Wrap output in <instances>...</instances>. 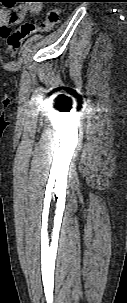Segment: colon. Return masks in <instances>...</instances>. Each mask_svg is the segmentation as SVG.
<instances>
[{
	"mask_svg": "<svg viewBox=\"0 0 127 303\" xmlns=\"http://www.w3.org/2000/svg\"><path fill=\"white\" fill-rule=\"evenodd\" d=\"M60 21V10L57 7L49 9L46 19L40 25L32 22H25L15 31H10L5 37L7 39L8 51L11 56H14L21 48L23 42L38 32H49Z\"/></svg>",
	"mask_w": 127,
	"mask_h": 303,
	"instance_id": "obj_1",
	"label": "colon"
}]
</instances>
